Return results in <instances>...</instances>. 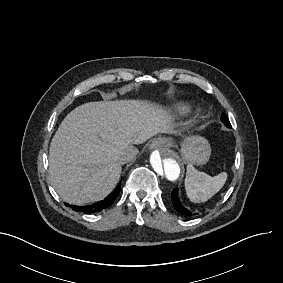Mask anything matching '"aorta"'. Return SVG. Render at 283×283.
<instances>
[{
  "instance_id": "aorta-1",
  "label": "aorta",
  "mask_w": 283,
  "mask_h": 283,
  "mask_svg": "<svg viewBox=\"0 0 283 283\" xmlns=\"http://www.w3.org/2000/svg\"><path fill=\"white\" fill-rule=\"evenodd\" d=\"M150 167L155 178L161 183L176 182L183 171V163L178 154L165 147L151 153Z\"/></svg>"
}]
</instances>
